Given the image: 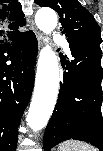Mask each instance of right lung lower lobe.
<instances>
[{
    "mask_svg": "<svg viewBox=\"0 0 103 151\" xmlns=\"http://www.w3.org/2000/svg\"><path fill=\"white\" fill-rule=\"evenodd\" d=\"M37 39L0 44V151H16L18 125L34 83Z\"/></svg>",
    "mask_w": 103,
    "mask_h": 151,
    "instance_id": "1",
    "label": "right lung lower lobe"
}]
</instances>
